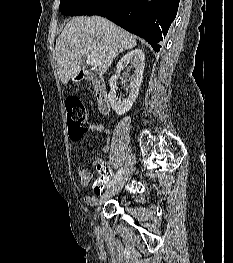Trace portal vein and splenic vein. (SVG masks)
<instances>
[{
    "instance_id": "portal-vein-and-splenic-vein-1",
    "label": "portal vein and splenic vein",
    "mask_w": 233,
    "mask_h": 263,
    "mask_svg": "<svg viewBox=\"0 0 233 263\" xmlns=\"http://www.w3.org/2000/svg\"><path fill=\"white\" fill-rule=\"evenodd\" d=\"M87 62L90 63L91 65L98 66L101 65V62L98 61L94 56L88 55L87 56Z\"/></svg>"
}]
</instances>
